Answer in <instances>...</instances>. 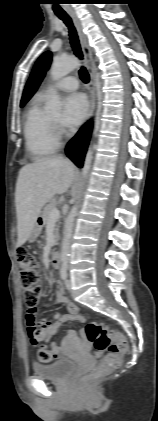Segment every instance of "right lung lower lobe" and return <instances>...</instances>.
Here are the masks:
<instances>
[{
	"label": "right lung lower lobe",
	"mask_w": 158,
	"mask_h": 421,
	"mask_svg": "<svg viewBox=\"0 0 158 421\" xmlns=\"http://www.w3.org/2000/svg\"><path fill=\"white\" fill-rule=\"evenodd\" d=\"M91 122L85 124L76 136L71 139L66 148L67 156L78 166L82 167L91 134Z\"/></svg>",
	"instance_id": "98d812e1"
}]
</instances>
